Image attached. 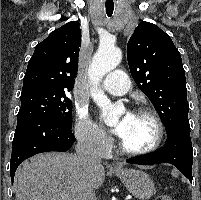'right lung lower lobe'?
Instances as JSON below:
<instances>
[{"label": "right lung lower lobe", "mask_w": 201, "mask_h": 200, "mask_svg": "<svg viewBox=\"0 0 201 200\" xmlns=\"http://www.w3.org/2000/svg\"><path fill=\"white\" fill-rule=\"evenodd\" d=\"M74 142L71 128L52 119L30 118L17 122L10 160L11 181H14V173L25 159L47 151H67Z\"/></svg>", "instance_id": "obj_1"}]
</instances>
